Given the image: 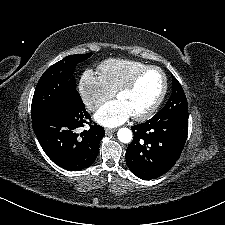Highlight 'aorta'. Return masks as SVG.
<instances>
[{
    "mask_svg": "<svg viewBox=\"0 0 225 225\" xmlns=\"http://www.w3.org/2000/svg\"><path fill=\"white\" fill-rule=\"evenodd\" d=\"M117 136L122 143H130L133 138L132 131L125 127L118 130Z\"/></svg>",
    "mask_w": 225,
    "mask_h": 225,
    "instance_id": "obj_1",
    "label": "aorta"
}]
</instances>
